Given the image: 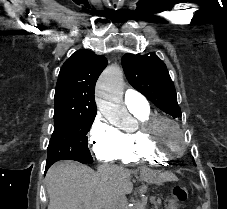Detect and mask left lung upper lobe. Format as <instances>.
<instances>
[{
    "mask_svg": "<svg viewBox=\"0 0 227 209\" xmlns=\"http://www.w3.org/2000/svg\"><path fill=\"white\" fill-rule=\"evenodd\" d=\"M122 66L129 83L165 113L181 117L177 95L166 65L154 53L125 54Z\"/></svg>",
    "mask_w": 227,
    "mask_h": 209,
    "instance_id": "obj_1",
    "label": "left lung upper lobe"
}]
</instances>
